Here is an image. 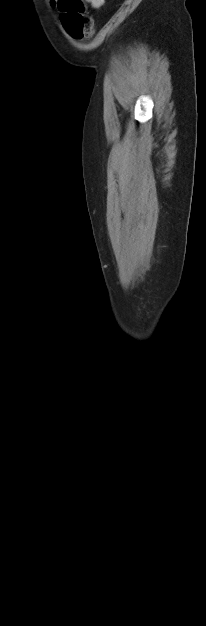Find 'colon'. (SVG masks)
<instances>
[{
  "mask_svg": "<svg viewBox=\"0 0 206 626\" xmlns=\"http://www.w3.org/2000/svg\"><path fill=\"white\" fill-rule=\"evenodd\" d=\"M85 0H58L61 21L67 32L77 39H88L94 33V22L86 14Z\"/></svg>",
  "mask_w": 206,
  "mask_h": 626,
  "instance_id": "1",
  "label": "colon"
}]
</instances>
